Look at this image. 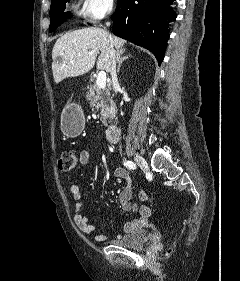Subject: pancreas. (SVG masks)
<instances>
[{
	"mask_svg": "<svg viewBox=\"0 0 240 281\" xmlns=\"http://www.w3.org/2000/svg\"><path fill=\"white\" fill-rule=\"evenodd\" d=\"M87 100L90 107L100 109L101 121L107 126L111 116L115 114V103L110 96L108 89L101 90L97 85H93L87 92Z\"/></svg>",
	"mask_w": 240,
	"mask_h": 281,
	"instance_id": "pancreas-1",
	"label": "pancreas"
}]
</instances>
